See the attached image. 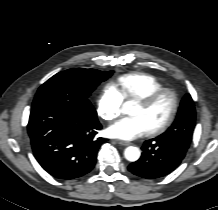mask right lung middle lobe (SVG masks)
Masks as SVG:
<instances>
[{"label": "right lung middle lobe", "mask_w": 218, "mask_h": 210, "mask_svg": "<svg viewBox=\"0 0 218 210\" xmlns=\"http://www.w3.org/2000/svg\"><path fill=\"white\" fill-rule=\"evenodd\" d=\"M112 74L113 71L102 72L83 68L59 72L41 85L32 106L51 102L96 114L88 97L101 82Z\"/></svg>", "instance_id": "1"}]
</instances>
